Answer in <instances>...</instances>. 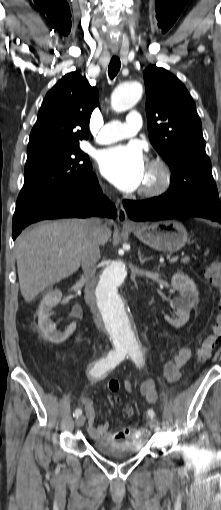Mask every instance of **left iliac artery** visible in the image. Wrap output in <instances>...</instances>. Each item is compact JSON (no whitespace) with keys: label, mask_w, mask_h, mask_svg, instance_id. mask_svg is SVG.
<instances>
[{"label":"left iliac artery","mask_w":221,"mask_h":510,"mask_svg":"<svg viewBox=\"0 0 221 510\" xmlns=\"http://www.w3.org/2000/svg\"><path fill=\"white\" fill-rule=\"evenodd\" d=\"M126 353L129 354V356L135 362L136 365L138 366L143 365L144 363L143 352L138 345H132L130 349L126 351ZM147 414L151 418L155 417V412L152 409H149L147 411Z\"/></svg>","instance_id":"obj_1"}]
</instances>
